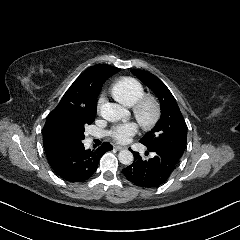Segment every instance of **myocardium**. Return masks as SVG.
I'll return each mask as SVG.
<instances>
[{"label":"myocardium","mask_w":240,"mask_h":240,"mask_svg":"<svg viewBox=\"0 0 240 240\" xmlns=\"http://www.w3.org/2000/svg\"><path fill=\"white\" fill-rule=\"evenodd\" d=\"M147 107L151 108V115L149 117L145 116ZM133 115L144 130H150L157 125L161 118V105L156 97L143 95L134 104Z\"/></svg>","instance_id":"myocardium-1"}]
</instances>
